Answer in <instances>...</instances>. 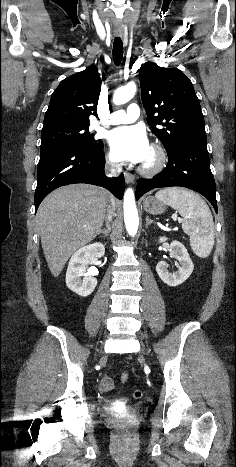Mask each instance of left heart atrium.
<instances>
[{
	"instance_id": "left-heart-atrium-1",
	"label": "left heart atrium",
	"mask_w": 236,
	"mask_h": 467,
	"mask_svg": "<svg viewBox=\"0 0 236 467\" xmlns=\"http://www.w3.org/2000/svg\"><path fill=\"white\" fill-rule=\"evenodd\" d=\"M113 156L118 161L142 163L151 150L144 129L140 126H121L109 135Z\"/></svg>"
}]
</instances>
